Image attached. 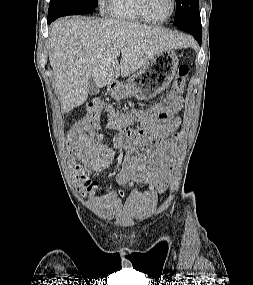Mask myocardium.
<instances>
[{"mask_svg": "<svg viewBox=\"0 0 253 285\" xmlns=\"http://www.w3.org/2000/svg\"><path fill=\"white\" fill-rule=\"evenodd\" d=\"M140 1V8L142 13L152 22H157V23H162L168 21L175 13L176 11V6H177V1L176 0H171L172 8L170 14L162 19L155 18L151 15V13L148 10L147 6V0H139Z\"/></svg>", "mask_w": 253, "mask_h": 285, "instance_id": "f54148a6", "label": "myocardium"}]
</instances>
